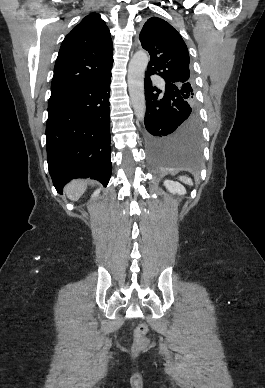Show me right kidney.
Here are the masks:
<instances>
[{
  "label": "right kidney",
  "instance_id": "1",
  "mask_svg": "<svg viewBox=\"0 0 265 388\" xmlns=\"http://www.w3.org/2000/svg\"><path fill=\"white\" fill-rule=\"evenodd\" d=\"M98 194H100V190H96V192H94L92 198H96V196H98Z\"/></svg>",
  "mask_w": 265,
  "mask_h": 388
}]
</instances>
